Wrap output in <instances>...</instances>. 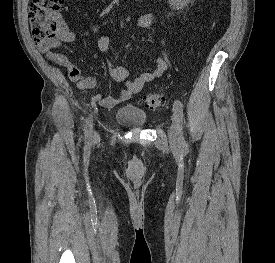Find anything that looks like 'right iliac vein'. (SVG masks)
<instances>
[{
    "label": "right iliac vein",
    "instance_id": "right-iliac-vein-1",
    "mask_svg": "<svg viewBox=\"0 0 275 263\" xmlns=\"http://www.w3.org/2000/svg\"><path fill=\"white\" fill-rule=\"evenodd\" d=\"M92 138H93V140H97L98 139V134H97V132H93V130H92Z\"/></svg>",
    "mask_w": 275,
    "mask_h": 263
}]
</instances>
